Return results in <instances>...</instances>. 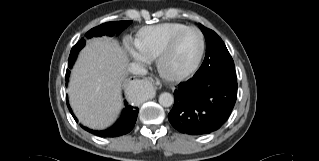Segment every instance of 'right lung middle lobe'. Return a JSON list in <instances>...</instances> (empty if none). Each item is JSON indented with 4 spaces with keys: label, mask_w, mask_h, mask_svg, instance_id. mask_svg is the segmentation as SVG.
Returning a JSON list of instances; mask_svg holds the SVG:
<instances>
[{
    "label": "right lung middle lobe",
    "mask_w": 319,
    "mask_h": 161,
    "mask_svg": "<svg viewBox=\"0 0 319 161\" xmlns=\"http://www.w3.org/2000/svg\"><path fill=\"white\" fill-rule=\"evenodd\" d=\"M131 23L132 21L107 22L89 30L85 34V36L87 38H91L92 36L96 37V36H102V35H107V36L119 35ZM84 45H85V39H81L79 42H77L75 46H73L68 59L69 69L72 68L76 60L78 52L83 48ZM69 69L66 71V78L69 77V74H70Z\"/></svg>",
    "instance_id": "1"
}]
</instances>
